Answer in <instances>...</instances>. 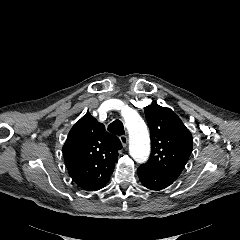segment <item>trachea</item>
<instances>
[{
	"label": "trachea",
	"instance_id": "trachea-1",
	"mask_svg": "<svg viewBox=\"0 0 240 240\" xmlns=\"http://www.w3.org/2000/svg\"><path fill=\"white\" fill-rule=\"evenodd\" d=\"M108 131L115 135H124V126L120 120H115L108 125Z\"/></svg>",
	"mask_w": 240,
	"mask_h": 240
}]
</instances>
